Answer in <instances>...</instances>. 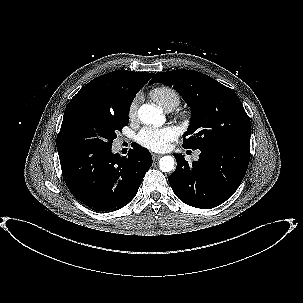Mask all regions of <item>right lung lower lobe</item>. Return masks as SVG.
<instances>
[{
    "label": "right lung lower lobe",
    "mask_w": 303,
    "mask_h": 303,
    "mask_svg": "<svg viewBox=\"0 0 303 303\" xmlns=\"http://www.w3.org/2000/svg\"><path fill=\"white\" fill-rule=\"evenodd\" d=\"M60 164L67 187L79 201L96 211H115L135 197L152 156L136 144L124 157L110 148L61 156Z\"/></svg>",
    "instance_id": "obj_1"
}]
</instances>
